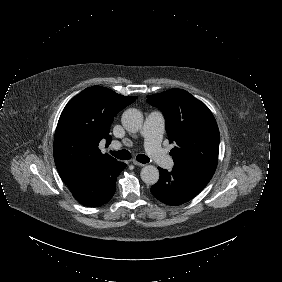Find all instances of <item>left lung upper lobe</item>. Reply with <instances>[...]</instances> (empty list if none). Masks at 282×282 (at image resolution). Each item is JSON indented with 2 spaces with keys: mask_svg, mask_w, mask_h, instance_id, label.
<instances>
[{
  "mask_svg": "<svg viewBox=\"0 0 282 282\" xmlns=\"http://www.w3.org/2000/svg\"><path fill=\"white\" fill-rule=\"evenodd\" d=\"M147 102L159 108L166 120L174 165L206 162L217 165L219 129L209 108L181 89L148 95Z\"/></svg>",
  "mask_w": 282,
  "mask_h": 282,
  "instance_id": "obj_1",
  "label": "left lung upper lobe"
}]
</instances>
